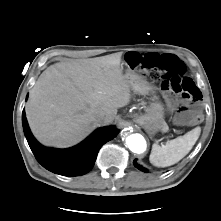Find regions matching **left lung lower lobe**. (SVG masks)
Instances as JSON below:
<instances>
[{
    "label": "left lung lower lobe",
    "instance_id": "1",
    "mask_svg": "<svg viewBox=\"0 0 221 221\" xmlns=\"http://www.w3.org/2000/svg\"><path fill=\"white\" fill-rule=\"evenodd\" d=\"M134 166L137 167L139 170L147 172V169L143 168L142 166H140L139 164H137L136 160H134Z\"/></svg>",
    "mask_w": 221,
    "mask_h": 221
}]
</instances>
